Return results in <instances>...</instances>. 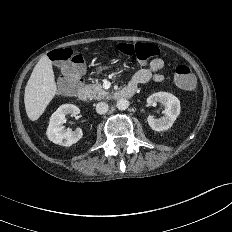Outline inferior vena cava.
Wrapping results in <instances>:
<instances>
[{"label": "inferior vena cava", "mask_w": 232, "mask_h": 232, "mask_svg": "<svg viewBox=\"0 0 232 232\" xmlns=\"http://www.w3.org/2000/svg\"><path fill=\"white\" fill-rule=\"evenodd\" d=\"M109 109V106L106 102H99L96 105V112L98 114H106Z\"/></svg>", "instance_id": "obj_1"}]
</instances>
